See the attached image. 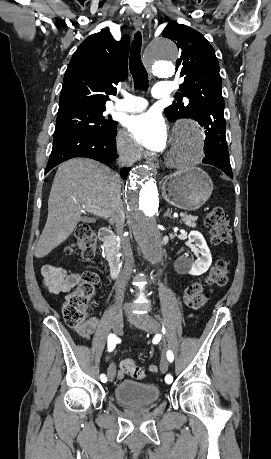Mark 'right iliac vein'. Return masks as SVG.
Masks as SVG:
<instances>
[{"mask_svg":"<svg viewBox=\"0 0 271 459\" xmlns=\"http://www.w3.org/2000/svg\"><path fill=\"white\" fill-rule=\"evenodd\" d=\"M124 326V320L120 312L116 314V316L113 319V325L112 328L117 334H121L122 329ZM116 374V366L114 364H110V366L107 369V377L109 381H112L115 377Z\"/></svg>","mask_w":271,"mask_h":459,"instance_id":"right-iliac-vein-1","label":"right iliac vein"}]
</instances>
